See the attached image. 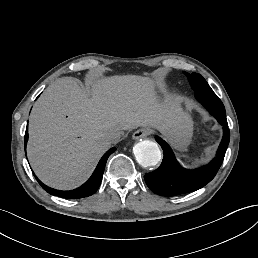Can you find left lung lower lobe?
<instances>
[{"instance_id": "obj_1", "label": "left lung lower lobe", "mask_w": 258, "mask_h": 258, "mask_svg": "<svg viewBox=\"0 0 258 258\" xmlns=\"http://www.w3.org/2000/svg\"><path fill=\"white\" fill-rule=\"evenodd\" d=\"M196 99L213 115L223 126L224 134L216 157L207 165L198 169L188 170L177 162L170 146L160 137L156 141L163 149V160L160 167L144 176L147 186L154 192L163 196H175L196 191L209 183L219 170L227 150L230 131L226 119L223 103L208 84L195 85Z\"/></svg>"}]
</instances>
